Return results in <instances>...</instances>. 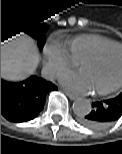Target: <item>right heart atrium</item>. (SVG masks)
<instances>
[{"mask_svg":"<svg viewBox=\"0 0 122 154\" xmlns=\"http://www.w3.org/2000/svg\"><path fill=\"white\" fill-rule=\"evenodd\" d=\"M76 65L77 61L72 57L64 42L53 40L46 45L44 49V66L49 77H56Z\"/></svg>","mask_w":122,"mask_h":154,"instance_id":"right-heart-atrium-1","label":"right heart atrium"}]
</instances>
